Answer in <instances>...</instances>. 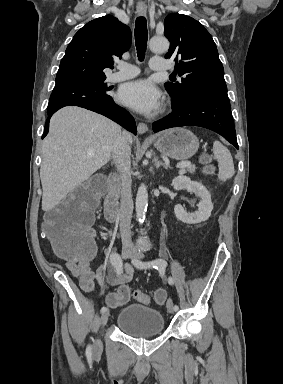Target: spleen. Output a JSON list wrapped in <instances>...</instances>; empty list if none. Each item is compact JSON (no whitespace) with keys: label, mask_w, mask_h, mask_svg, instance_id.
<instances>
[{"label":"spleen","mask_w":283,"mask_h":384,"mask_svg":"<svg viewBox=\"0 0 283 384\" xmlns=\"http://www.w3.org/2000/svg\"><path fill=\"white\" fill-rule=\"evenodd\" d=\"M213 154L215 156V160H218L219 180H222V182H226V180H230V178L234 176L235 172H234L233 158L229 150H227V148H225V146H223L221 142H214Z\"/></svg>","instance_id":"3e777b00"}]
</instances>
